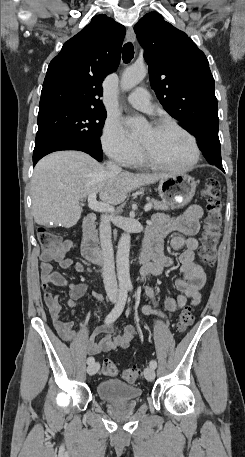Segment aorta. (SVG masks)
Masks as SVG:
<instances>
[{"mask_svg": "<svg viewBox=\"0 0 245 457\" xmlns=\"http://www.w3.org/2000/svg\"><path fill=\"white\" fill-rule=\"evenodd\" d=\"M146 74L147 70L144 65H132L128 67L123 73L121 88L126 91L132 89L144 79ZM127 124L133 132H139L147 125L146 120L141 117L129 118L127 119ZM130 244V234H122L118 242L116 254L117 276L121 286H129L131 284L129 264Z\"/></svg>", "mask_w": 245, "mask_h": 457, "instance_id": "762f6f07", "label": "aorta"}]
</instances>
